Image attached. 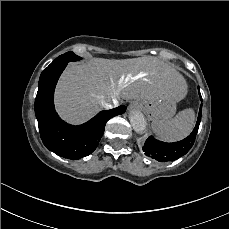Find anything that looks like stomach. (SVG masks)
Instances as JSON below:
<instances>
[{
	"instance_id": "0dacf381",
	"label": "stomach",
	"mask_w": 229,
	"mask_h": 229,
	"mask_svg": "<svg viewBox=\"0 0 229 229\" xmlns=\"http://www.w3.org/2000/svg\"><path fill=\"white\" fill-rule=\"evenodd\" d=\"M138 109L142 110L151 120H168L176 112V103L164 101H138Z\"/></svg>"
}]
</instances>
